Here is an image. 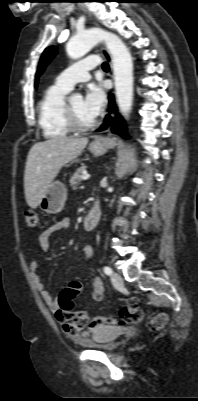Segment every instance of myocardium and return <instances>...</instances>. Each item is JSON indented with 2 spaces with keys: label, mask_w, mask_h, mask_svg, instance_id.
Returning a JSON list of instances; mask_svg holds the SVG:
<instances>
[{
  "label": "myocardium",
  "mask_w": 198,
  "mask_h": 401,
  "mask_svg": "<svg viewBox=\"0 0 198 401\" xmlns=\"http://www.w3.org/2000/svg\"><path fill=\"white\" fill-rule=\"evenodd\" d=\"M64 119L66 125L72 132L83 133L94 129L97 125V120L92 121L88 124H82L77 119V116L70 106L69 103H65L64 107Z\"/></svg>",
  "instance_id": "f54148a6"
}]
</instances>
